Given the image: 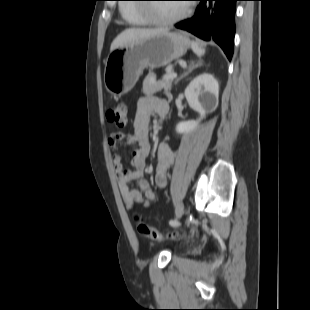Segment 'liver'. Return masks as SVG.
<instances>
[{
  "label": "liver",
  "instance_id": "6515ba94",
  "mask_svg": "<svg viewBox=\"0 0 310 310\" xmlns=\"http://www.w3.org/2000/svg\"><path fill=\"white\" fill-rule=\"evenodd\" d=\"M168 31L164 28L158 29H141V28H129L121 32L112 42L110 52L117 49L118 47L135 43L152 36L158 35L162 32Z\"/></svg>",
  "mask_w": 310,
  "mask_h": 310
}]
</instances>
